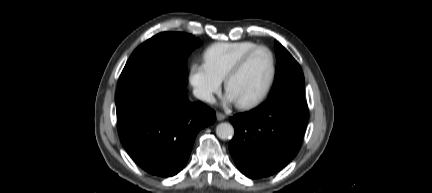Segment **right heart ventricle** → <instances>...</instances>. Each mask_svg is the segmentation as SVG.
Instances as JSON below:
<instances>
[{
    "label": "right heart ventricle",
    "mask_w": 432,
    "mask_h": 193,
    "mask_svg": "<svg viewBox=\"0 0 432 193\" xmlns=\"http://www.w3.org/2000/svg\"><path fill=\"white\" fill-rule=\"evenodd\" d=\"M257 45L253 41L215 43L205 51V64L222 81L231 67Z\"/></svg>",
    "instance_id": "obj_1"
}]
</instances>
